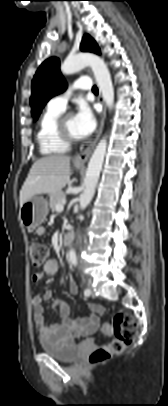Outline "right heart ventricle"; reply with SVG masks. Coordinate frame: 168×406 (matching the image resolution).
I'll return each instance as SVG.
<instances>
[{"mask_svg":"<svg viewBox=\"0 0 168 406\" xmlns=\"http://www.w3.org/2000/svg\"><path fill=\"white\" fill-rule=\"evenodd\" d=\"M63 111L48 106L40 118L36 140L43 155L65 153L69 149L70 145L63 142L56 131L57 120Z\"/></svg>","mask_w":168,"mask_h":406,"instance_id":"1","label":"right heart ventricle"}]
</instances>
